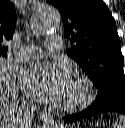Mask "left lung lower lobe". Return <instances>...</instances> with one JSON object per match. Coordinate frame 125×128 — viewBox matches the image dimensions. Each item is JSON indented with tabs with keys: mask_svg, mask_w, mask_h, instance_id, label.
Here are the masks:
<instances>
[{
	"mask_svg": "<svg viewBox=\"0 0 125 128\" xmlns=\"http://www.w3.org/2000/svg\"><path fill=\"white\" fill-rule=\"evenodd\" d=\"M108 111L125 114V86L117 88L102 101L97 103L93 102L92 105L84 111L68 115L64 119L66 122H75Z\"/></svg>",
	"mask_w": 125,
	"mask_h": 128,
	"instance_id": "0a47b994",
	"label": "left lung lower lobe"
}]
</instances>
